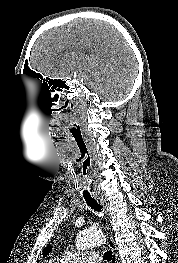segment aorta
Instances as JSON below:
<instances>
[{
    "mask_svg": "<svg viewBox=\"0 0 178 263\" xmlns=\"http://www.w3.org/2000/svg\"><path fill=\"white\" fill-rule=\"evenodd\" d=\"M105 242L104 235L99 231L83 230L76 239V247L79 250H87Z\"/></svg>",
    "mask_w": 178,
    "mask_h": 263,
    "instance_id": "762f6f07",
    "label": "aorta"
}]
</instances>
